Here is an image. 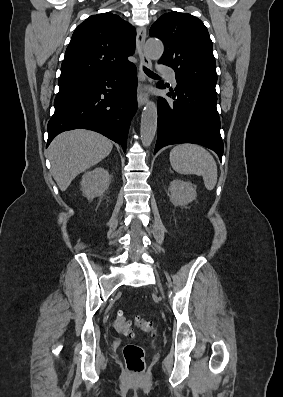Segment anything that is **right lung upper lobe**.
<instances>
[{
  "mask_svg": "<svg viewBox=\"0 0 283 397\" xmlns=\"http://www.w3.org/2000/svg\"><path fill=\"white\" fill-rule=\"evenodd\" d=\"M136 32L110 12L92 15L74 31L61 65L59 85L90 78L131 64Z\"/></svg>",
  "mask_w": 283,
  "mask_h": 397,
  "instance_id": "1",
  "label": "right lung upper lobe"
}]
</instances>
